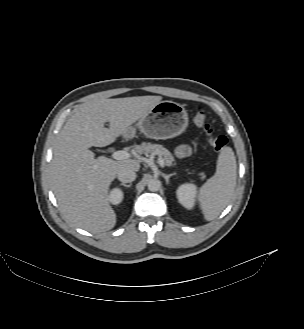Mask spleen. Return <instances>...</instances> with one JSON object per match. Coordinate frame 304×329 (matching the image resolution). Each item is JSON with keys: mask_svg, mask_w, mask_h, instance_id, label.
Here are the masks:
<instances>
[{"mask_svg": "<svg viewBox=\"0 0 304 329\" xmlns=\"http://www.w3.org/2000/svg\"><path fill=\"white\" fill-rule=\"evenodd\" d=\"M236 157L232 148H222L216 173L200 188L198 200L205 220H214L230 203L236 186Z\"/></svg>", "mask_w": 304, "mask_h": 329, "instance_id": "1", "label": "spleen"}]
</instances>
